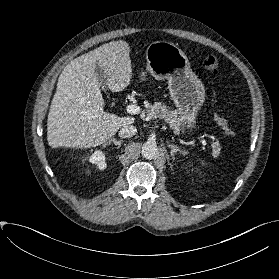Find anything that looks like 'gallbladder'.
Wrapping results in <instances>:
<instances>
[{
  "label": "gallbladder",
  "instance_id": "gallbladder-1",
  "mask_svg": "<svg viewBox=\"0 0 279 279\" xmlns=\"http://www.w3.org/2000/svg\"><path fill=\"white\" fill-rule=\"evenodd\" d=\"M95 71L97 72V78L100 84V87L103 88L104 91H107V78L104 74L103 70L99 65H96Z\"/></svg>",
  "mask_w": 279,
  "mask_h": 279
}]
</instances>
